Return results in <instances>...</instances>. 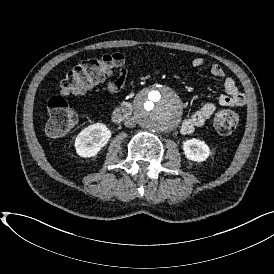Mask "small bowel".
Instances as JSON below:
<instances>
[{
	"label": "small bowel",
	"mask_w": 274,
	"mask_h": 274,
	"mask_svg": "<svg viewBox=\"0 0 274 274\" xmlns=\"http://www.w3.org/2000/svg\"><path fill=\"white\" fill-rule=\"evenodd\" d=\"M204 64L205 60L201 57H196L191 61V65L194 68H201ZM209 70L212 76L222 79L225 93L218 98L217 104L207 102L195 111L192 116L183 120L181 132L185 135H189L193 133L196 128L203 126L214 114L217 105L222 107H235L243 106L246 103L245 93L239 89L232 77L226 75L222 66L213 64L210 66ZM127 77L128 72L125 68L120 69L115 78H108L106 74H101L99 78H95L85 85L76 87L74 89V94L76 96L88 94L95 88H99L102 83H106V88L109 92L116 93L125 86Z\"/></svg>",
	"instance_id": "small-bowel-1"
}]
</instances>
